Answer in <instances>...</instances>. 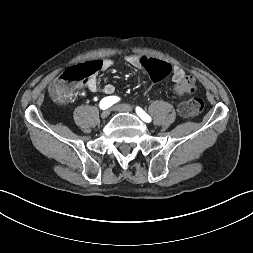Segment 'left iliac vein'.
<instances>
[{"label": "left iliac vein", "mask_w": 253, "mask_h": 253, "mask_svg": "<svg viewBox=\"0 0 253 253\" xmlns=\"http://www.w3.org/2000/svg\"><path fill=\"white\" fill-rule=\"evenodd\" d=\"M113 109L117 112H133L134 109L132 106L128 105V104H118L116 106L113 107Z\"/></svg>", "instance_id": "obj_1"}]
</instances>
